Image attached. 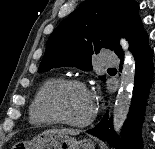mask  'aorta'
I'll return each mask as SVG.
<instances>
[{
	"instance_id": "1",
	"label": "aorta",
	"mask_w": 155,
	"mask_h": 149,
	"mask_svg": "<svg viewBox=\"0 0 155 149\" xmlns=\"http://www.w3.org/2000/svg\"><path fill=\"white\" fill-rule=\"evenodd\" d=\"M120 44L122 49L126 52V60L121 72L120 88L113 110V127L117 134H120L127 119L135 81V60L128 50L129 44L125 39H121Z\"/></svg>"
}]
</instances>
